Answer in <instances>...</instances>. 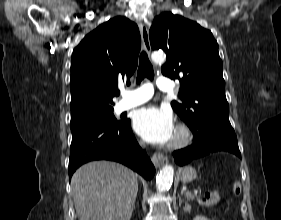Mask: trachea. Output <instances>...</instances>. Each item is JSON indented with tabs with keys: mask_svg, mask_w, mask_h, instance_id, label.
Here are the masks:
<instances>
[{
	"mask_svg": "<svg viewBox=\"0 0 281 220\" xmlns=\"http://www.w3.org/2000/svg\"><path fill=\"white\" fill-rule=\"evenodd\" d=\"M145 77L152 80L154 78V72L152 64L150 63L146 52L140 54L139 67L137 73V83H140Z\"/></svg>",
	"mask_w": 281,
	"mask_h": 220,
	"instance_id": "3493384b",
	"label": "trachea"
}]
</instances>
